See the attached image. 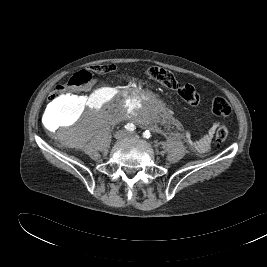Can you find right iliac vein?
I'll list each match as a JSON object with an SVG mask.
<instances>
[{"instance_id": "63e3f726", "label": "right iliac vein", "mask_w": 267, "mask_h": 267, "mask_svg": "<svg viewBox=\"0 0 267 267\" xmlns=\"http://www.w3.org/2000/svg\"><path fill=\"white\" fill-rule=\"evenodd\" d=\"M126 136V133L125 131H118L116 134H115V138L116 139H122Z\"/></svg>"}]
</instances>
